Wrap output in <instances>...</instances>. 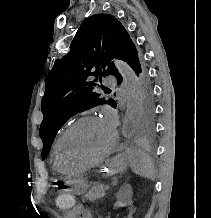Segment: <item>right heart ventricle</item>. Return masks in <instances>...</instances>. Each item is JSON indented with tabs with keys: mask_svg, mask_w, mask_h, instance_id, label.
Wrapping results in <instances>:
<instances>
[{
	"mask_svg": "<svg viewBox=\"0 0 211 218\" xmlns=\"http://www.w3.org/2000/svg\"><path fill=\"white\" fill-rule=\"evenodd\" d=\"M62 134L63 132L59 133L53 145V157L55 160H50L51 169H64V164H59V160L56 159V151Z\"/></svg>",
	"mask_w": 211,
	"mask_h": 218,
	"instance_id": "obj_1",
	"label": "right heart ventricle"
}]
</instances>
